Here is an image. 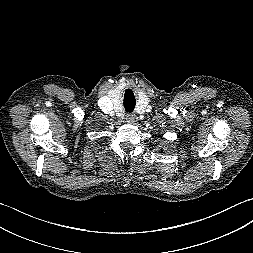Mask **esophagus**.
<instances>
[{"label": "esophagus", "instance_id": "34e87169", "mask_svg": "<svg viewBox=\"0 0 253 253\" xmlns=\"http://www.w3.org/2000/svg\"><path fill=\"white\" fill-rule=\"evenodd\" d=\"M126 120H127V122L132 123V122H134L135 117H134V115L128 114V115H126Z\"/></svg>", "mask_w": 253, "mask_h": 253}]
</instances>
